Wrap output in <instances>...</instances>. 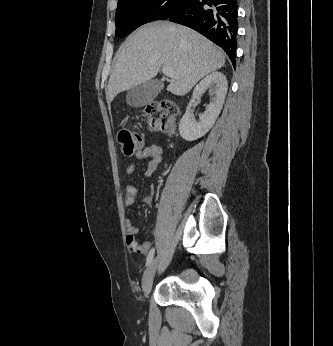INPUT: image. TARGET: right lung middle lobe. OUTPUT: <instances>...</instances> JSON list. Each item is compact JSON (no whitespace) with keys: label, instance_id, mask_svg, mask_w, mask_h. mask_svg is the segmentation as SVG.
<instances>
[{"label":"right lung middle lobe","instance_id":"obj_1","mask_svg":"<svg viewBox=\"0 0 333 346\" xmlns=\"http://www.w3.org/2000/svg\"><path fill=\"white\" fill-rule=\"evenodd\" d=\"M185 0H118L116 36L125 37L139 26L167 19Z\"/></svg>","mask_w":333,"mask_h":346}]
</instances>
